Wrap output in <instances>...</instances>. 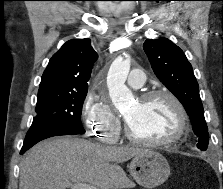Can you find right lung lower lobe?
<instances>
[{"label":"right lung lower lobe","mask_w":223,"mask_h":189,"mask_svg":"<svg viewBox=\"0 0 223 189\" xmlns=\"http://www.w3.org/2000/svg\"><path fill=\"white\" fill-rule=\"evenodd\" d=\"M60 135H78L68 127L57 124L32 123L26 134L20 154H23L41 140Z\"/></svg>","instance_id":"98d812e1"}]
</instances>
